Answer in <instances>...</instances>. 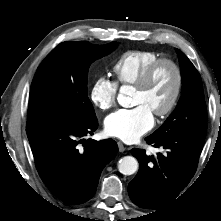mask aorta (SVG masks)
I'll return each mask as SVG.
<instances>
[{
	"instance_id": "1",
	"label": "aorta",
	"mask_w": 221,
	"mask_h": 221,
	"mask_svg": "<svg viewBox=\"0 0 221 221\" xmlns=\"http://www.w3.org/2000/svg\"><path fill=\"white\" fill-rule=\"evenodd\" d=\"M127 91L122 88L118 95V102L121 106H127L126 101ZM118 170L124 175H132L138 170V161L133 156H124L118 162Z\"/></svg>"
}]
</instances>
